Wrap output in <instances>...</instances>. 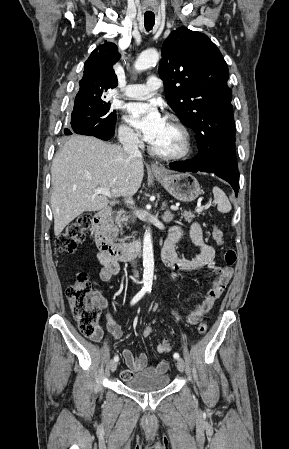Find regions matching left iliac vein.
<instances>
[{
	"mask_svg": "<svg viewBox=\"0 0 289 449\" xmlns=\"http://www.w3.org/2000/svg\"><path fill=\"white\" fill-rule=\"evenodd\" d=\"M176 366H177V369H178L180 372H184V370H185V362H184L182 359H178V360H177Z\"/></svg>",
	"mask_w": 289,
	"mask_h": 449,
	"instance_id": "left-iliac-vein-1",
	"label": "left iliac vein"
}]
</instances>
